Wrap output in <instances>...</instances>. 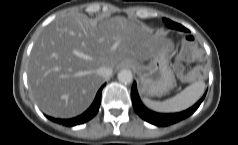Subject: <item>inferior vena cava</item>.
Listing matches in <instances>:
<instances>
[{"label":"inferior vena cava","instance_id":"1","mask_svg":"<svg viewBox=\"0 0 238 145\" xmlns=\"http://www.w3.org/2000/svg\"><path fill=\"white\" fill-rule=\"evenodd\" d=\"M112 72V68L106 66H102L97 69V74L103 77L104 79H108L109 77H111Z\"/></svg>","mask_w":238,"mask_h":145}]
</instances>
